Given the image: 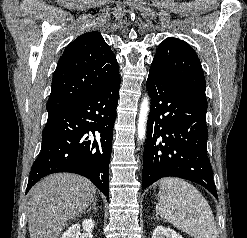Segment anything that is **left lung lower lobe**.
Instances as JSON below:
<instances>
[{
    "instance_id": "0a47b994",
    "label": "left lung lower lobe",
    "mask_w": 247,
    "mask_h": 238,
    "mask_svg": "<svg viewBox=\"0 0 247 238\" xmlns=\"http://www.w3.org/2000/svg\"><path fill=\"white\" fill-rule=\"evenodd\" d=\"M146 86L151 110L142 189L163 177H179L202 185L218 198L207 156V103L155 69H150Z\"/></svg>"
}]
</instances>
